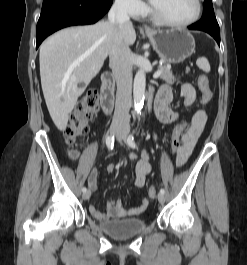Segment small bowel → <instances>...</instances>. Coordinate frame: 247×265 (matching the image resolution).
Returning <instances> with one entry per match:
<instances>
[{
    "label": "small bowel",
    "instance_id": "c3829d8e",
    "mask_svg": "<svg viewBox=\"0 0 247 265\" xmlns=\"http://www.w3.org/2000/svg\"><path fill=\"white\" fill-rule=\"evenodd\" d=\"M181 93L184 98V105L191 106L196 100V91L192 84L185 83L181 87ZM172 101V90L169 86H162L155 97L154 112L158 121L163 124H172L178 119V113L169 105ZM206 113L203 110L196 111L188 124L186 131L182 134L180 141L181 147L176 159L177 166H183L190 157L193 148L201 135L205 123ZM137 156L132 154L131 160L136 159ZM110 172L115 170L114 165L108 167ZM151 172V164L149 155L146 151L141 154V159L135 165V185L138 188H144L146 180ZM88 187L90 190H95L97 187V170L92 169L88 178ZM149 207V200L144 198L141 203L133 208H125L119 199H109L106 202L105 211H100L96 206L91 205L89 211L91 215L98 221H105L112 218H123L127 216H134L143 213Z\"/></svg>",
    "mask_w": 247,
    "mask_h": 265
}]
</instances>
